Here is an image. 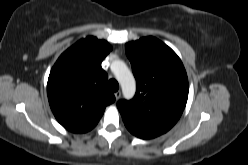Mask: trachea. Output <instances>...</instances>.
Wrapping results in <instances>:
<instances>
[{
  "label": "trachea",
  "mask_w": 248,
  "mask_h": 165,
  "mask_svg": "<svg viewBox=\"0 0 248 165\" xmlns=\"http://www.w3.org/2000/svg\"><path fill=\"white\" fill-rule=\"evenodd\" d=\"M108 88H109L110 91L116 92L119 89V84L115 79H111L108 82Z\"/></svg>",
  "instance_id": "3493384b"
}]
</instances>
